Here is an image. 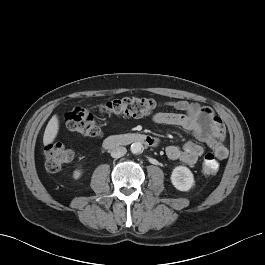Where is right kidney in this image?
Segmentation results:
<instances>
[{
    "mask_svg": "<svg viewBox=\"0 0 265 265\" xmlns=\"http://www.w3.org/2000/svg\"><path fill=\"white\" fill-rule=\"evenodd\" d=\"M81 175H82L81 170H75V171L73 172V178H74V179H79Z\"/></svg>",
    "mask_w": 265,
    "mask_h": 265,
    "instance_id": "right-kidney-1",
    "label": "right kidney"
}]
</instances>
